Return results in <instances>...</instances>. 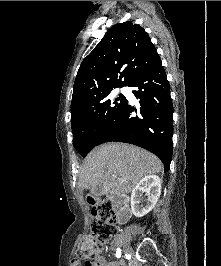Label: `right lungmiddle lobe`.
Listing matches in <instances>:
<instances>
[{
  "instance_id": "right-lung-middle-lobe-1",
  "label": "right lung middle lobe",
  "mask_w": 221,
  "mask_h": 266,
  "mask_svg": "<svg viewBox=\"0 0 221 266\" xmlns=\"http://www.w3.org/2000/svg\"><path fill=\"white\" fill-rule=\"evenodd\" d=\"M112 90L95 96L81 113L72 117L73 146L85 157L100 136L114 122L127 103L123 95L115 97Z\"/></svg>"
}]
</instances>
